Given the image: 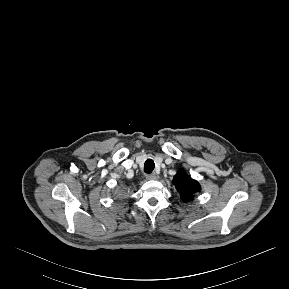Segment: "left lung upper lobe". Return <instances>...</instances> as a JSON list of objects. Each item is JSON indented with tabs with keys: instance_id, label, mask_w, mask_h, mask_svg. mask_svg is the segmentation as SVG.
Here are the masks:
<instances>
[{
	"instance_id": "1",
	"label": "left lung upper lobe",
	"mask_w": 289,
	"mask_h": 289,
	"mask_svg": "<svg viewBox=\"0 0 289 289\" xmlns=\"http://www.w3.org/2000/svg\"><path fill=\"white\" fill-rule=\"evenodd\" d=\"M173 183L180 193V197L184 201H191L196 192H199L201 187L199 183L190 178L185 172L178 171L173 179Z\"/></svg>"
}]
</instances>
